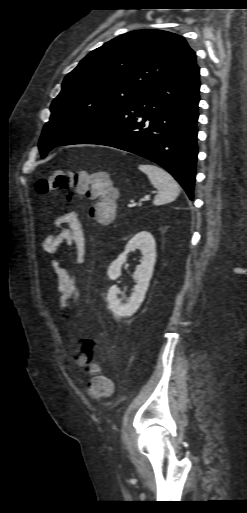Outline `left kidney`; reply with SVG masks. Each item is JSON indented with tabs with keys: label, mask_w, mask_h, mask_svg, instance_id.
I'll list each match as a JSON object with an SVG mask.
<instances>
[{
	"label": "left kidney",
	"mask_w": 247,
	"mask_h": 513,
	"mask_svg": "<svg viewBox=\"0 0 247 513\" xmlns=\"http://www.w3.org/2000/svg\"><path fill=\"white\" fill-rule=\"evenodd\" d=\"M139 249L143 255L141 264L136 267L133 278L136 280L134 292L127 303H121L117 298L119 289L116 285L110 287L107 293L108 308L115 318L132 316L140 307L148 289L156 261V242L146 231L137 233L126 245L125 251L113 261L108 269V276L116 280L121 275V267L127 260V254Z\"/></svg>",
	"instance_id": "left-kidney-1"
}]
</instances>
